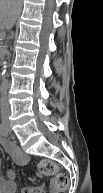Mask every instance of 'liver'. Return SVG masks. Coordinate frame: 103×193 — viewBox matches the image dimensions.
<instances>
[{
	"mask_svg": "<svg viewBox=\"0 0 103 193\" xmlns=\"http://www.w3.org/2000/svg\"><path fill=\"white\" fill-rule=\"evenodd\" d=\"M21 7L20 0H0V19L3 27H11Z\"/></svg>",
	"mask_w": 103,
	"mask_h": 193,
	"instance_id": "obj_1",
	"label": "liver"
}]
</instances>
